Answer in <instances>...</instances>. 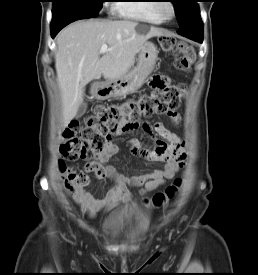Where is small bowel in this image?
I'll list each match as a JSON object with an SVG mask.
<instances>
[{"label":"small bowel","instance_id":"small-bowel-1","mask_svg":"<svg viewBox=\"0 0 258 275\" xmlns=\"http://www.w3.org/2000/svg\"><path fill=\"white\" fill-rule=\"evenodd\" d=\"M159 78L168 84L167 78ZM168 116L175 124L181 122V116L176 111L171 112ZM138 127H141L146 134L155 140L156 148L146 150L139 140L130 138L127 143L131 153L153 162H163L165 164L164 168L134 177L119 174L113 166L107 164L108 160L119 151L116 144L111 140L108 141L102 151L95 153L93 161L85 165V170L93 172L97 180L112 179L114 185L100 199H95L89 192H79L75 202L82 212L88 216L94 217L98 211L107 212L121 203L130 202L132 193L129 190V185H143V188L139 191L140 194L151 192L163 185L167 179L172 178L178 169L183 166L186 158L185 142L179 135L169 131L162 123L151 125L143 122L139 123ZM132 131H124L120 134Z\"/></svg>","mask_w":258,"mask_h":275}]
</instances>
